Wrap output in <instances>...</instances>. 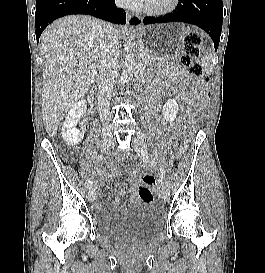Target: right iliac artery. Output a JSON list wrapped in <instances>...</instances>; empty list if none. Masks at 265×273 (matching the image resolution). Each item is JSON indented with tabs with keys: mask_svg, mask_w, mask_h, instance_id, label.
I'll use <instances>...</instances> for the list:
<instances>
[{
	"mask_svg": "<svg viewBox=\"0 0 265 273\" xmlns=\"http://www.w3.org/2000/svg\"><path fill=\"white\" fill-rule=\"evenodd\" d=\"M103 158H104V155H103V154H100V155H98V156L96 157L95 161H96L97 163H99V162H101V161L103 160ZM92 186H93V182H92L91 179H89L88 182H87V187H88L89 189H91Z\"/></svg>",
	"mask_w": 265,
	"mask_h": 273,
	"instance_id": "1",
	"label": "right iliac artery"
}]
</instances>
